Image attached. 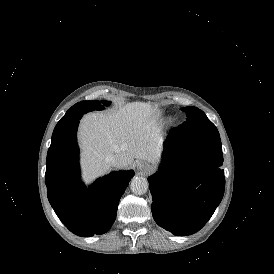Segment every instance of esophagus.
<instances>
[{
  "label": "esophagus",
  "mask_w": 274,
  "mask_h": 274,
  "mask_svg": "<svg viewBox=\"0 0 274 274\" xmlns=\"http://www.w3.org/2000/svg\"><path fill=\"white\" fill-rule=\"evenodd\" d=\"M136 167L139 171H146V172L150 171V164L143 160H138L136 162Z\"/></svg>",
  "instance_id": "esophagus-1"
}]
</instances>
